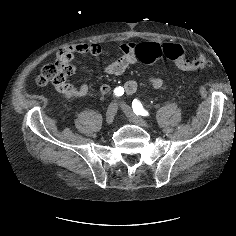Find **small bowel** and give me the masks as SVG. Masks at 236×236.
<instances>
[{"label": "small bowel", "instance_id": "obj_1", "mask_svg": "<svg viewBox=\"0 0 236 236\" xmlns=\"http://www.w3.org/2000/svg\"><path fill=\"white\" fill-rule=\"evenodd\" d=\"M141 44H151L161 46V43L147 41ZM140 44L135 43H123L120 46L122 51V56L105 65L102 68L104 74L107 75H121L129 67L134 65L137 62V57L135 51ZM64 52L68 53L71 58V66L69 69V74L66 76L65 80L59 84L55 85L57 93L66 98H77L85 96L89 91V86L86 83H81L79 85H73L67 82V77L73 74L76 70V65L73 61L75 55H92L94 57H100L102 55V48L98 43H76L72 44L65 49ZM149 84L158 90H168L169 86L159 77L150 76L148 78ZM138 84L135 80H129L123 85L125 94L131 95L137 90ZM99 91L103 95H107L111 91V86L109 84H102L99 87Z\"/></svg>", "mask_w": 236, "mask_h": 236}]
</instances>
